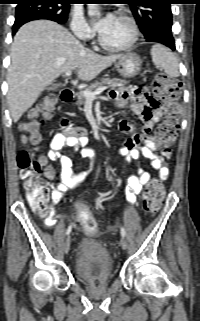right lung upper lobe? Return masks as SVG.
<instances>
[{
	"label": "right lung upper lobe",
	"instance_id": "1",
	"mask_svg": "<svg viewBox=\"0 0 200 321\" xmlns=\"http://www.w3.org/2000/svg\"><path fill=\"white\" fill-rule=\"evenodd\" d=\"M18 1H23V0H18ZM66 1H71V2H72V1H74V0H66Z\"/></svg>",
	"mask_w": 200,
	"mask_h": 321
}]
</instances>
